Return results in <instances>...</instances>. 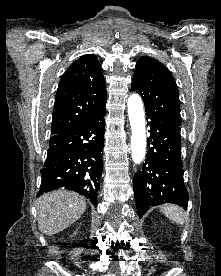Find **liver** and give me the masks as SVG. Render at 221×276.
<instances>
[{
	"mask_svg": "<svg viewBox=\"0 0 221 276\" xmlns=\"http://www.w3.org/2000/svg\"><path fill=\"white\" fill-rule=\"evenodd\" d=\"M85 210V198L73 191L46 193L37 202L39 230L48 236L59 233L75 223Z\"/></svg>",
	"mask_w": 221,
	"mask_h": 276,
	"instance_id": "liver-1",
	"label": "liver"
}]
</instances>
